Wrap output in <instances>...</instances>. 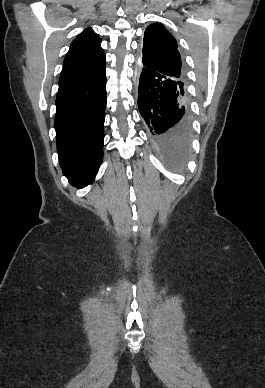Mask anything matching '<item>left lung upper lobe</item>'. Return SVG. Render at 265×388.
I'll use <instances>...</instances> for the list:
<instances>
[{"instance_id": "5c2ea615", "label": "left lung upper lobe", "mask_w": 265, "mask_h": 388, "mask_svg": "<svg viewBox=\"0 0 265 388\" xmlns=\"http://www.w3.org/2000/svg\"><path fill=\"white\" fill-rule=\"evenodd\" d=\"M143 66L181 82L184 100L187 101L185 71L177 42L171 33L161 24H150L144 33Z\"/></svg>"}]
</instances>
